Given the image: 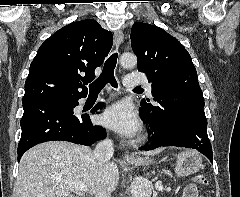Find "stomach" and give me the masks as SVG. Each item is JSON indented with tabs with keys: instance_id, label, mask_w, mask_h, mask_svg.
Instances as JSON below:
<instances>
[{
	"instance_id": "0dacf381",
	"label": "stomach",
	"mask_w": 240,
	"mask_h": 197,
	"mask_svg": "<svg viewBox=\"0 0 240 197\" xmlns=\"http://www.w3.org/2000/svg\"><path fill=\"white\" fill-rule=\"evenodd\" d=\"M152 162L148 157L129 161L135 166H148ZM202 167L201 156L194 150H186L176 156L174 171L177 176L183 177L198 172Z\"/></svg>"
}]
</instances>
